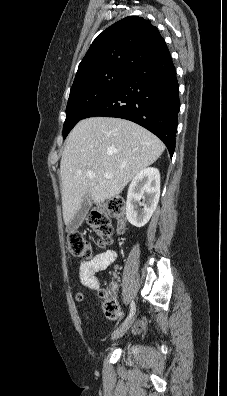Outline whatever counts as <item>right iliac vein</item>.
Returning <instances> with one entry per match:
<instances>
[{
	"instance_id": "1",
	"label": "right iliac vein",
	"mask_w": 227,
	"mask_h": 396,
	"mask_svg": "<svg viewBox=\"0 0 227 396\" xmlns=\"http://www.w3.org/2000/svg\"><path fill=\"white\" fill-rule=\"evenodd\" d=\"M133 323V319L128 321L127 323H125L122 327H120L119 329H117L113 334H112V339H118L120 337H122L130 328V326Z\"/></svg>"
}]
</instances>
